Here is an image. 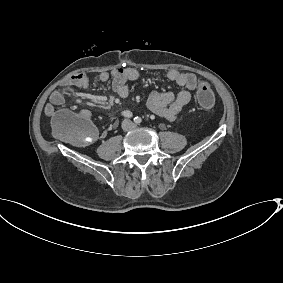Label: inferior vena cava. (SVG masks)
<instances>
[{
	"instance_id": "1",
	"label": "inferior vena cava",
	"mask_w": 283,
	"mask_h": 283,
	"mask_svg": "<svg viewBox=\"0 0 283 283\" xmlns=\"http://www.w3.org/2000/svg\"><path fill=\"white\" fill-rule=\"evenodd\" d=\"M134 126H135L134 123L129 119H125L122 122V128L124 130H131L132 128H134Z\"/></svg>"
}]
</instances>
